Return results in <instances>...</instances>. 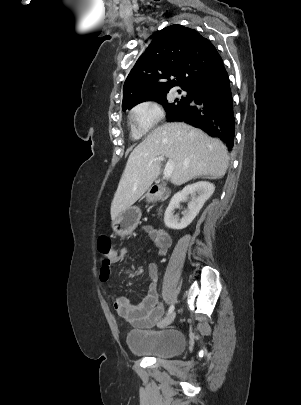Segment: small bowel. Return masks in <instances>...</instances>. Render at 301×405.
<instances>
[{
    "label": "small bowel",
    "mask_w": 301,
    "mask_h": 405,
    "mask_svg": "<svg viewBox=\"0 0 301 405\" xmlns=\"http://www.w3.org/2000/svg\"><path fill=\"white\" fill-rule=\"evenodd\" d=\"M143 231L154 241L159 254L164 256L167 253L170 241L167 244H161L159 232L150 226H145ZM124 258V252L119 253L116 250H112L108 258L102 259L99 271L100 280L102 282H108L111 275V266L115 263L122 262ZM149 273L152 283L138 302H131L124 296L116 295L113 291L110 292V297L112 298L114 308L118 315L135 327H150L164 313V306L159 300L155 286L157 279V267L155 264L150 265Z\"/></svg>",
    "instance_id": "c3829d8e"
}]
</instances>
